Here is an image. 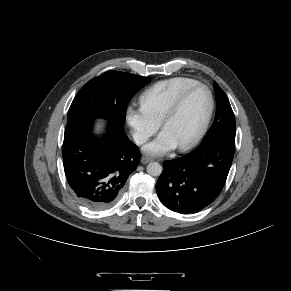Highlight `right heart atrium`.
<instances>
[{
	"label": "right heart atrium",
	"mask_w": 291,
	"mask_h": 291,
	"mask_svg": "<svg viewBox=\"0 0 291 291\" xmlns=\"http://www.w3.org/2000/svg\"><path fill=\"white\" fill-rule=\"evenodd\" d=\"M125 120L138 145L146 143L160 125L141 105H129L125 110Z\"/></svg>",
	"instance_id": "d8ad5b80"
}]
</instances>
